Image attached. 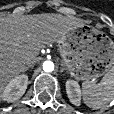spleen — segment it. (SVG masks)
<instances>
[{
  "mask_svg": "<svg viewBox=\"0 0 114 114\" xmlns=\"http://www.w3.org/2000/svg\"><path fill=\"white\" fill-rule=\"evenodd\" d=\"M82 96L84 103L92 109H99L114 99V67L104 75L100 83L84 82Z\"/></svg>",
  "mask_w": 114,
  "mask_h": 114,
  "instance_id": "3e777b00",
  "label": "spleen"
}]
</instances>
